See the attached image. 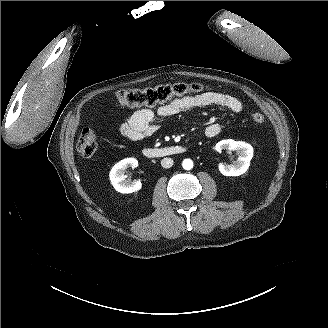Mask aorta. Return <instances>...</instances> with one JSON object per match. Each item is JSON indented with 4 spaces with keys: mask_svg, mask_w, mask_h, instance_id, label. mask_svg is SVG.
Wrapping results in <instances>:
<instances>
[{
    "mask_svg": "<svg viewBox=\"0 0 328 328\" xmlns=\"http://www.w3.org/2000/svg\"><path fill=\"white\" fill-rule=\"evenodd\" d=\"M182 167L185 170H190L193 168V161L191 159H184L182 162Z\"/></svg>",
    "mask_w": 328,
    "mask_h": 328,
    "instance_id": "obj_1",
    "label": "aorta"
}]
</instances>
